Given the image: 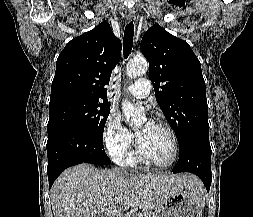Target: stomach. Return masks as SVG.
Segmentation results:
<instances>
[{
  "label": "stomach",
  "instance_id": "obj_1",
  "mask_svg": "<svg viewBox=\"0 0 253 217\" xmlns=\"http://www.w3.org/2000/svg\"><path fill=\"white\" fill-rule=\"evenodd\" d=\"M204 203L187 191L172 194L154 213L155 217H202Z\"/></svg>",
  "mask_w": 253,
  "mask_h": 217
}]
</instances>
